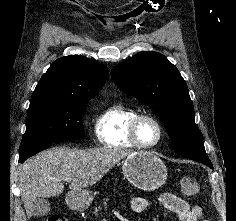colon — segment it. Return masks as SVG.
Segmentation results:
<instances>
[{
  "label": "colon",
  "mask_w": 236,
  "mask_h": 221,
  "mask_svg": "<svg viewBox=\"0 0 236 221\" xmlns=\"http://www.w3.org/2000/svg\"><path fill=\"white\" fill-rule=\"evenodd\" d=\"M181 189L182 193L187 197L195 196L199 193L200 187L198 182L192 177H182L181 179ZM44 221H66V219L61 218L57 215H51L47 217Z\"/></svg>",
  "instance_id": "obj_1"
}]
</instances>
